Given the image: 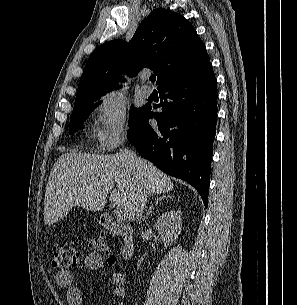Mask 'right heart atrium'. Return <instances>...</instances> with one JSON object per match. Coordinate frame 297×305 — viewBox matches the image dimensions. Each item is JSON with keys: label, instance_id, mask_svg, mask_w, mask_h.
Masks as SVG:
<instances>
[{"label": "right heart atrium", "instance_id": "d8ad5b80", "mask_svg": "<svg viewBox=\"0 0 297 305\" xmlns=\"http://www.w3.org/2000/svg\"><path fill=\"white\" fill-rule=\"evenodd\" d=\"M97 139L104 150H114L130 132L128 105L120 92L103 94L96 103Z\"/></svg>", "mask_w": 297, "mask_h": 305}]
</instances>
